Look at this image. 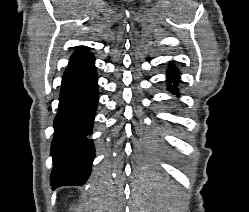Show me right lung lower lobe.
<instances>
[{
	"label": "right lung lower lobe",
	"mask_w": 249,
	"mask_h": 212,
	"mask_svg": "<svg viewBox=\"0 0 249 212\" xmlns=\"http://www.w3.org/2000/svg\"><path fill=\"white\" fill-rule=\"evenodd\" d=\"M94 60L90 54L71 63L63 75L52 142L53 188L82 185L91 172L95 150L87 136L92 133L99 95Z\"/></svg>",
	"instance_id": "98d812e1"
}]
</instances>
